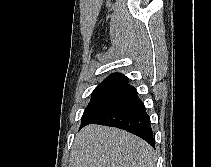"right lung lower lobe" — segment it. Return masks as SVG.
Returning a JSON list of instances; mask_svg holds the SVG:
<instances>
[{"label":"right lung lower lobe","mask_w":211,"mask_h":167,"mask_svg":"<svg viewBox=\"0 0 211 167\" xmlns=\"http://www.w3.org/2000/svg\"><path fill=\"white\" fill-rule=\"evenodd\" d=\"M88 124H99L124 129L155 147L150 117L146 113L145 106L139 99L137 91L133 86L93 120L81 124L80 128Z\"/></svg>","instance_id":"1"}]
</instances>
